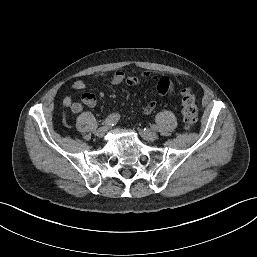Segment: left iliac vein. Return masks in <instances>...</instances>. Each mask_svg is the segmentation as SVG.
<instances>
[{
  "mask_svg": "<svg viewBox=\"0 0 257 257\" xmlns=\"http://www.w3.org/2000/svg\"><path fill=\"white\" fill-rule=\"evenodd\" d=\"M139 133L147 141H154L158 138L157 133L150 130H139Z\"/></svg>",
  "mask_w": 257,
  "mask_h": 257,
  "instance_id": "1",
  "label": "left iliac vein"
}]
</instances>
